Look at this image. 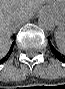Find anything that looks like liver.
<instances>
[{
  "mask_svg": "<svg viewBox=\"0 0 65 89\" xmlns=\"http://www.w3.org/2000/svg\"><path fill=\"white\" fill-rule=\"evenodd\" d=\"M52 0H0V51L4 55L9 43L15 23L21 19H28L33 11L43 4H51ZM59 3H63L59 1Z\"/></svg>",
  "mask_w": 65,
  "mask_h": 89,
  "instance_id": "1",
  "label": "liver"
}]
</instances>
